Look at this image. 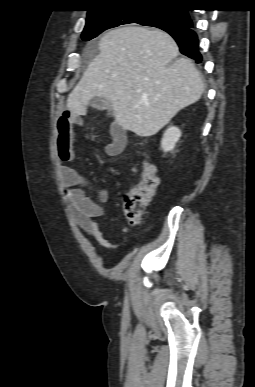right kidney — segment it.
I'll use <instances>...</instances> for the list:
<instances>
[{"instance_id": "right-kidney-1", "label": "right kidney", "mask_w": 255, "mask_h": 387, "mask_svg": "<svg viewBox=\"0 0 255 387\" xmlns=\"http://www.w3.org/2000/svg\"><path fill=\"white\" fill-rule=\"evenodd\" d=\"M181 136V131L179 128L175 126L169 127L163 135L162 141H161V149L164 152L173 151L176 143L178 142L179 138Z\"/></svg>"}]
</instances>
